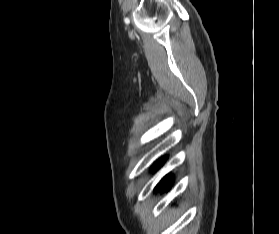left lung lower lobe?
I'll return each mask as SVG.
<instances>
[{
	"mask_svg": "<svg viewBox=\"0 0 279 234\" xmlns=\"http://www.w3.org/2000/svg\"><path fill=\"white\" fill-rule=\"evenodd\" d=\"M165 158H163L161 161L157 162L154 167L153 170H157L158 167L164 162ZM172 178L169 176H166L163 178V180L157 185L156 189L158 188L159 191H166L167 188H169L170 184H171Z\"/></svg>",
	"mask_w": 279,
	"mask_h": 234,
	"instance_id": "1",
	"label": "left lung lower lobe"
}]
</instances>
